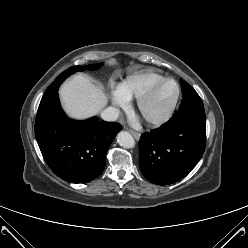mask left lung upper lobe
I'll use <instances>...</instances> for the list:
<instances>
[{
    "label": "left lung upper lobe",
    "instance_id": "obj_1",
    "mask_svg": "<svg viewBox=\"0 0 248 248\" xmlns=\"http://www.w3.org/2000/svg\"><path fill=\"white\" fill-rule=\"evenodd\" d=\"M183 98L182 103L176 114H187L192 110L203 108V102L194 88L187 82L180 80Z\"/></svg>",
    "mask_w": 248,
    "mask_h": 248
}]
</instances>
